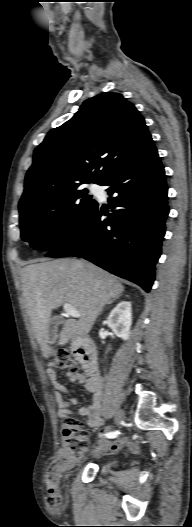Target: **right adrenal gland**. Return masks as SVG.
Instances as JSON below:
<instances>
[{
	"mask_svg": "<svg viewBox=\"0 0 192 527\" xmlns=\"http://www.w3.org/2000/svg\"><path fill=\"white\" fill-rule=\"evenodd\" d=\"M118 298H119V296L113 298V299H112L111 301H109L107 304H108V305L112 304V303H113L116 299H118ZM103 309H104V308H101V309H100V313H102Z\"/></svg>",
	"mask_w": 192,
	"mask_h": 527,
	"instance_id": "obj_1",
	"label": "right adrenal gland"
}]
</instances>
